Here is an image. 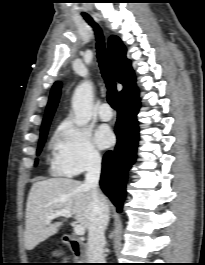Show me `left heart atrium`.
<instances>
[{"label":"left heart atrium","mask_w":205,"mask_h":265,"mask_svg":"<svg viewBox=\"0 0 205 265\" xmlns=\"http://www.w3.org/2000/svg\"><path fill=\"white\" fill-rule=\"evenodd\" d=\"M96 142L101 148H107L112 145L114 142L112 131L106 126H101L96 132Z\"/></svg>","instance_id":"1"}]
</instances>
